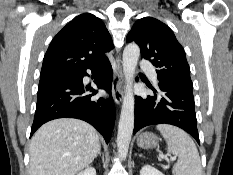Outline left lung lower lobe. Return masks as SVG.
<instances>
[{
	"instance_id": "0a47b994",
	"label": "left lung lower lobe",
	"mask_w": 233,
	"mask_h": 175,
	"mask_svg": "<svg viewBox=\"0 0 233 175\" xmlns=\"http://www.w3.org/2000/svg\"><path fill=\"white\" fill-rule=\"evenodd\" d=\"M149 88L153 90L154 96L135 97L133 134L145 126L164 123L182 128L199 143L193 86L159 81L158 90L151 86Z\"/></svg>"
}]
</instances>
